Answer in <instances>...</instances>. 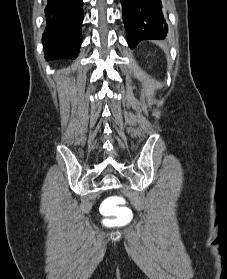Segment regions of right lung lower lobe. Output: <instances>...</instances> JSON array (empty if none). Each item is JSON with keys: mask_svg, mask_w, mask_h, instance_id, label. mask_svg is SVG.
Wrapping results in <instances>:
<instances>
[{"mask_svg": "<svg viewBox=\"0 0 227 279\" xmlns=\"http://www.w3.org/2000/svg\"><path fill=\"white\" fill-rule=\"evenodd\" d=\"M83 0H48L42 43L46 60L75 59L81 43Z\"/></svg>", "mask_w": 227, "mask_h": 279, "instance_id": "1", "label": "right lung lower lobe"}]
</instances>
